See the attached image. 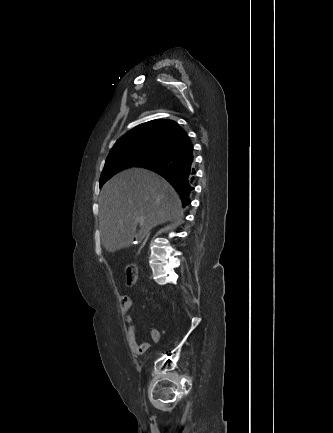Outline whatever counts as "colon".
Here are the masks:
<instances>
[{"label":"colon","instance_id":"1","mask_svg":"<svg viewBox=\"0 0 333 433\" xmlns=\"http://www.w3.org/2000/svg\"><path fill=\"white\" fill-rule=\"evenodd\" d=\"M126 271V279L129 285H133L136 283L138 279V268L135 264H128L125 268Z\"/></svg>","mask_w":333,"mask_h":433}]
</instances>
